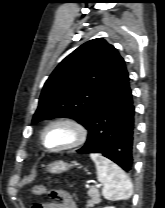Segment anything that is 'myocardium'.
I'll list each match as a JSON object with an SVG mask.
<instances>
[{
    "label": "myocardium",
    "mask_w": 165,
    "mask_h": 208,
    "mask_svg": "<svg viewBox=\"0 0 165 208\" xmlns=\"http://www.w3.org/2000/svg\"><path fill=\"white\" fill-rule=\"evenodd\" d=\"M59 125L67 126L68 128H70L73 133V139L69 143L63 146L50 148L46 145L45 135L49 129H51L54 126H59ZM40 138H41V144L45 150L49 152H55V153L62 152V151L74 149L83 145L88 139V129L82 122L76 119L62 117V118H57V119L50 121L42 130Z\"/></svg>",
    "instance_id": "myocardium-1"
}]
</instances>
